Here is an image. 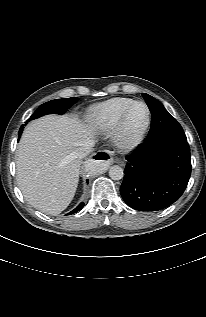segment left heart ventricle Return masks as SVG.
Listing matches in <instances>:
<instances>
[{"label":"left heart ventricle","mask_w":206,"mask_h":317,"mask_svg":"<svg viewBox=\"0 0 206 317\" xmlns=\"http://www.w3.org/2000/svg\"><path fill=\"white\" fill-rule=\"evenodd\" d=\"M146 108L143 105L135 106L127 119V131L132 133L136 131L146 119Z\"/></svg>","instance_id":"obj_1"}]
</instances>
